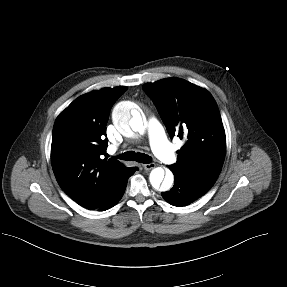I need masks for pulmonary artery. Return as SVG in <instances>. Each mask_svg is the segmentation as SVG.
Here are the masks:
<instances>
[{"label": "pulmonary artery", "instance_id": "obj_1", "mask_svg": "<svg viewBox=\"0 0 287 287\" xmlns=\"http://www.w3.org/2000/svg\"><path fill=\"white\" fill-rule=\"evenodd\" d=\"M148 136L155 154L165 163L173 164L176 155L170 143L167 141L160 123L152 118L148 122Z\"/></svg>", "mask_w": 287, "mask_h": 287}]
</instances>
